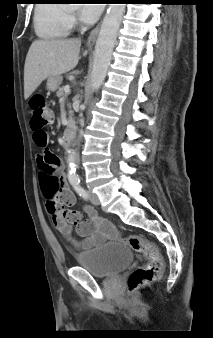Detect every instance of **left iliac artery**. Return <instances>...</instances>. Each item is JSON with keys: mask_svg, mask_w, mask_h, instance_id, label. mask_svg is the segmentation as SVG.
<instances>
[{"mask_svg": "<svg viewBox=\"0 0 213 338\" xmlns=\"http://www.w3.org/2000/svg\"><path fill=\"white\" fill-rule=\"evenodd\" d=\"M75 191L77 192V194H79V196H81L82 198H84L85 200L88 199V194L87 192L84 190V188H82L79 184L74 186Z\"/></svg>", "mask_w": 213, "mask_h": 338, "instance_id": "1", "label": "left iliac artery"}]
</instances>
